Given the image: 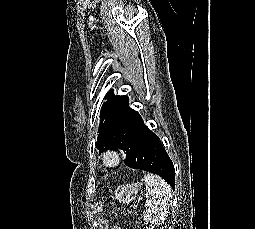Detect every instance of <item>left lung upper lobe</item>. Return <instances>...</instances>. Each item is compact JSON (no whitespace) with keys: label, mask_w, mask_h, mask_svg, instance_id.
<instances>
[{"label":"left lung upper lobe","mask_w":255,"mask_h":229,"mask_svg":"<svg viewBox=\"0 0 255 229\" xmlns=\"http://www.w3.org/2000/svg\"><path fill=\"white\" fill-rule=\"evenodd\" d=\"M107 101L103 104L100 113V123L98 128V137L96 147L99 152H103L108 148L127 150L129 139L124 133L113 129L110 125L112 113L126 99V96H114L113 90H110L105 96Z\"/></svg>","instance_id":"left-lung-upper-lobe-1"}]
</instances>
